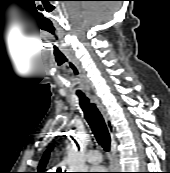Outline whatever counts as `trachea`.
<instances>
[{
	"label": "trachea",
	"instance_id": "trachea-1",
	"mask_svg": "<svg viewBox=\"0 0 170 173\" xmlns=\"http://www.w3.org/2000/svg\"><path fill=\"white\" fill-rule=\"evenodd\" d=\"M80 107L84 112V117L88 122L97 142L105 151L110 149V134L104 118L96 105L89 103V100L83 93H78Z\"/></svg>",
	"mask_w": 170,
	"mask_h": 173
}]
</instances>
